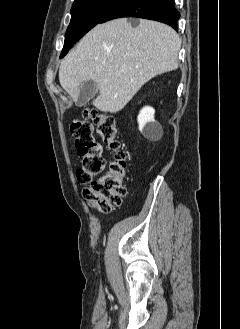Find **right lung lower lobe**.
I'll return each instance as SVG.
<instances>
[{
	"instance_id": "98d812e1",
	"label": "right lung lower lobe",
	"mask_w": 240,
	"mask_h": 329,
	"mask_svg": "<svg viewBox=\"0 0 240 329\" xmlns=\"http://www.w3.org/2000/svg\"><path fill=\"white\" fill-rule=\"evenodd\" d=\"M121 17H137L166 23L177 30L180 13L173 0H121L99 23Z\"/></svg>"
}]
</instances>
